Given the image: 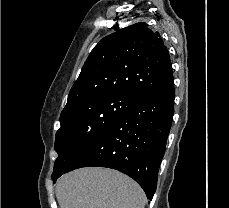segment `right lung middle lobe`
<instances>
[{
  "label": "right lung middle lobe",
  "instance_id": "dd1d6c3e",
  "mask_svg": "<svg viewBox=\"0 0 229 208\" xmlns=\"http://www.w3.org/2000/svg\"><path fill=\"white\" fill-rule=\"evenodd\" d=\"M138 100L124 95L100 96L71 108L60 117L61 127L56 133L52 178L59 177L80 150L94 137L110 127Z\"/></svg>",
  "mask_w": 229,
  "mask_h": 208
}]
</instances>
